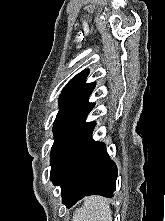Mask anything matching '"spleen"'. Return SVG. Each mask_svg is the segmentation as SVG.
Instances as JSON below:
<instances>
[{"mask_svg":"<svg viewBox=\"0 0 165 221\" xmlns=\"http://www.w3.org/2000/svg\"><path fill=\"white\" fill-rule=\"evenodd\" d=\"M73 221H112V211L106 199L87 197L83 206L74 213Z\"/></svg>","mask_w":165,"mask_h":221,"instance_id":"3e777b00","label":"spleen"}]
</instances>
